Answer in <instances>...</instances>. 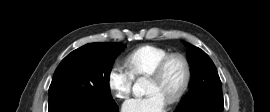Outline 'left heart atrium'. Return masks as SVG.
<instances>
[{
    "label": "left heart atrium",
    "instance_id": "obj_1",
    "mask_svg": "<svg viewBox=\"0 0 270 112\" xmlns=\"http://www.w3.org/2000/svg\"><path fill=\"white\" fill-rule=\"evenodd\" d=\"M167 101L157 93L124 102L122 112H165Z\"/></svg>",
    "mask_w": 270,
    "mask_h": 112
}]
</instances>
